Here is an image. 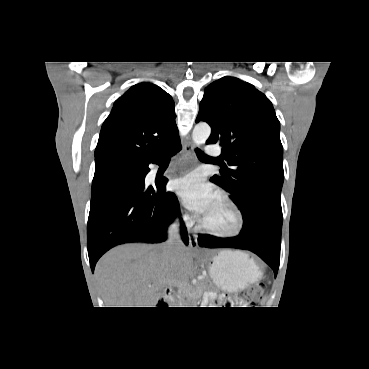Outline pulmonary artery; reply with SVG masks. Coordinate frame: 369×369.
I'll list each match as a JSON object with an SVG mask.
<instances>
[{
    "label": "pulmonary artery",
    "mask_w": 369,
    "mask_h": 369,
    "mask_svg": "<svg viewBox=\"0 0 369 369\" xmlns=\"http://www.w3.org/2000/svg\"><path fill=\"white\" fill-rule=\"evenodd\" d=\"M206 153L209 156H219L220 155V149L219 147L215 145H208L206 147Z\"/></svg>",
    "instance_id": "pulmonary-artery-1"
}]
</instances>
